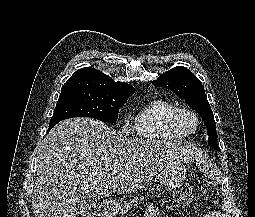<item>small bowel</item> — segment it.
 Instances as JSON below:
<instances>
[{
  "label": "small bowel",
  "instance_id": "small-bowel-1",
  "mask_svg": "<svg viewBox=\"0 0 255 217\" xmlns=\"http://www.w3.org/2000/svg\"><path fill=\"white\" fill-rule=\"evenodd\" d=\"M145 217H160L159 209L156 205H150L146 209ZM203 217H223V215L218 211H209L206 212Z\"/></svg>",
  "mask_w": 255,
  "mask_h": 217
}]
</instances>
